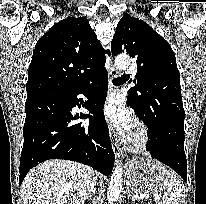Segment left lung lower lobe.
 I'll list each match as a JSON object with an SVG mask.
<instances>
[{
    "mask_svg": "<svg viewBox=\"0 0 206 204\" xmlns=\"http://www.w3.org/2000/svg\"><path fill=\"white\" fill-rule=\"evenodd\" d=\"M128 106L134 108L133 100L127 98ZM183 105L172 106L158 119V127L150 129L149 144L151 157L175 170L187 182V161L184 152Z\"/></svg>",
    "mask_w": 206,
    "mask_h": 204,
    "instance_id": "0a47b994",
    "label": "left lung lower lobe"
}]
</instances>
